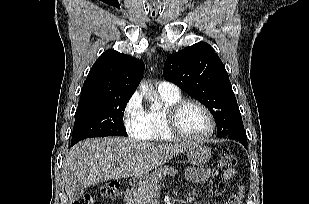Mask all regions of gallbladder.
<instances>
[{
    "label": "gallbladder",
    "mask_w": 309,
    "mask_h": 204,
    "mask_svg": "<svg viewBox=\"0 0 309 204\" xmlns=\"http://www.w3.org/2000/svg\"><path fill=\"white\" fill-rule=\"evenodd\" d=\"M84 188L80 185H76L75 190L72 193V197L77 200L83 194Z\"/></svg>",
    "instance_id": "gallbladder-1"
}]
</instances>
